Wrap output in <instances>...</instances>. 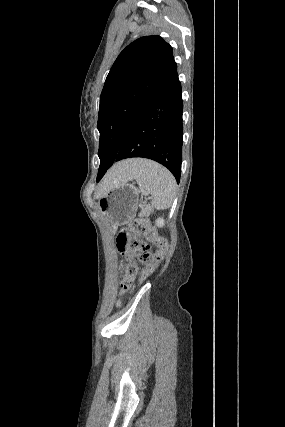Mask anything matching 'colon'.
Returning a JSON list of instances; mask_svg holds the SVG:
<instances>
[{
	"label": "colon",
	"instance_id": "1",
	"mask_svg": "<svg viewBox=\"0 0 285 427\" xmlns=\"http://www.w3.org/2000/svg\"><path fill=\"white\" fill-rule=\"evenodd\" d=\"M128 230L134 235V242L131 245V251L141 256L143 268L142 277L152 273L160 265L168 252L166 240L158 235L156 230L149 225L146 219L138 218L132 220L128 225ZM150 245L156 250L150 253ZM116 246L119 252L125 253L128 248V239L125 235L117 238ZM139 267L135 262L129 263L125 267V278L121 283V294L128 291L134 277L138 274Z\"/></svg>",
	"mask_w": 285,
	"mask_h": 427
}]
</instances>
